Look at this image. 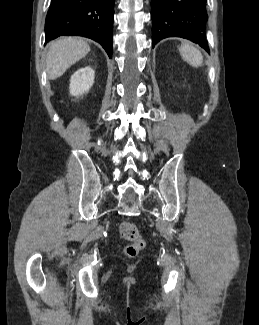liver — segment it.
Instances as JSON below:
<instances>
[{"mask_svg":"<svg viewBox=\"0 0 259 325\" xmlns=\"http://www.w3.org/2000/svg\"><path fill=\"white\" fill-rule=\"evenodd\" d=\"M90 46L81 38L60 37L48 44L46 66L48 78L54 80L77 61L85 57Z\"/></svg>","mask_w":259,"mask_h":325,"instance_id":"1","label":"liver"}]
</instances>
